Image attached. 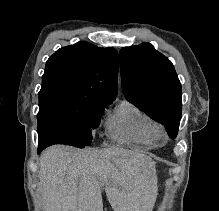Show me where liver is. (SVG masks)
Returning <instances> with one entry per match:
<instances>
[{"mask_svg":"<svg viewBox=\"0 0 219 211\" xmlns=\"http://www.w3.org/2000/svg\"><path fill=\"white\" fill-rule=\"evenodd\" d=\"M150 155L123 147L41 153L38 179L43 211H103L102 189L114 211H151Z\"/></svg>","mask_w":219,"mask_h":211,"instance_id":"liver-1","label":"liver"}]
</instances>
